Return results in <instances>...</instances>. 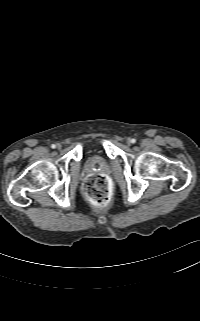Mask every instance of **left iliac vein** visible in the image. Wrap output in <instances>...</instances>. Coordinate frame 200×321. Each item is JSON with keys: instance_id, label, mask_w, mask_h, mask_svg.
I'll use <instances>...</instances> for the list:
<instances>
[{"instance_id": "1", "label": "left iliac vein", "mask_w": 200, "mask_h": 321, "mask_svg": "<svg viewBox=\"0 0 200 321\" xmlns=\"http://www.w3.org/2000/svg\"><path fill=\"white\" fill-rule=\"evenodd\" d=\"M132 143L131 139L127 140V144L130 145Z\"/></svg>"}]
</instances>
